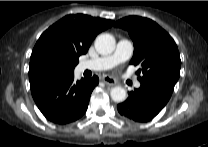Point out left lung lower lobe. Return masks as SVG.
I'll return each instance as SVG.
<instances>
[{"mask_svg":"<svg viewBox=\"0 0 208 147\" xmlns=\"http://www.w3.org/2000/svg\"><path fill=\"white\" fill-rule=\"evenodd\" d=\"M172 90L157 83H141L140 88L129 93L126 101L119 104V113L130 120L147 122L166 105Z\"/></svg>","mask_w":208,"mask_h":147,"instance_id":"left-lung-lower-lobe-1","label":"left lung lower lobe"}]
</instances>
